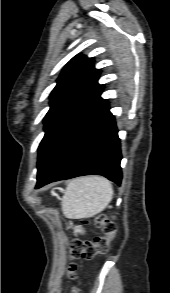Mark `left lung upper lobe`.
<instances>
[{
	"instance_id": "1",
	"label": "left lung upper lobe",
	"mask_w": 170,
	"mask_h": 293,
	"mask_svg": "<svg viewBox=\"0 0 170 293\" xmlns=\"http://www.w3.org/2000/svg\"><path fill=\"white\" fill-rule=\"evenodd\" d=\"M100 71L93 59L77 55L64 67L50 96L44 118L45 135L38 149V176L42 175L76 132L106 102L97 83Z\"/></svg>"
}]
</instances>
